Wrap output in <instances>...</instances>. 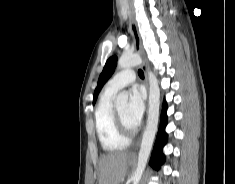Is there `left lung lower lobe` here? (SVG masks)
<instances>
[{
	"label": "left lung lower lobe",
	"instance_id": "left-lung-lower-lobe-1",
	"mask_svg": "<svg viewBox=\"0 0 235 184\" xmlns=\"http://www.w3.org/2000/svg\"><path fill=\"white\" fill-rule=\"evenodd\" d=\"M166 111H167V104L164 101L163 108H162L161 125L159 128V132L156 138V142L154 145V149H153V153H152V157L150 161V165L156 170H158L160 168V165L163 164L165 161L162 148L167 142V134L164 131L165 126L167 124Z\"/></svg>",
	"mask_w": 235,
	"mask_h": 184
}]
</instances>
